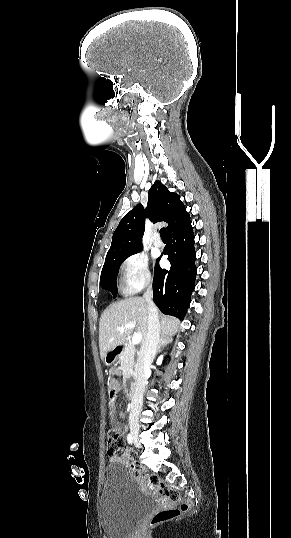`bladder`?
Here are the masks:
<instances>
[{
  "label": "bladder",
  "mask_w": 291,
  "mask_h": 538,
  "mask_svg": "<svg viewBox=\"0 0 291 538\" xmlns=\"http://www.w3.org/2000/svg\"><path fill=\"white\" fill-rule=\"evenodd\" d=\"M154 506L125 465L111 463L105 468L99 523L109 538H125Z\"/></svg>",
  "instance_id": "1"
}]
</instances>
